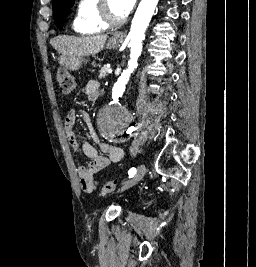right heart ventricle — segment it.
Returning <instances> with one entry per match:
<instances>
[{
    "instance_id": "right-heart-ventricle-1",
    "label": "right heart ventricle",
    "mask_w": 256,
    "mask_h": 267,
    "mask_svg": "<svg viewBox=\"0 0 256 267\" xmlns=\"http://www.w3.org/2000/svg\"><path fill=\"white\" fill-rule=\"evenodd\" d=\"M82 2V10L73 24V30L80 36H103L104 29L98 17L101 0H82Z\"/></svg>"
}]
</instances>
